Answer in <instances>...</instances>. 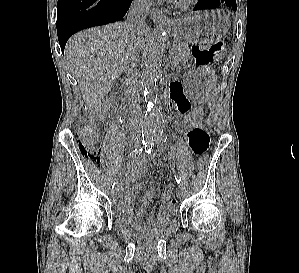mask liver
I'll use <instances>...</instances> for the list:
<instances>
[{
  "label": "liver",
  "mask_w": 299,
  "mask_h": 273,
  "mask_svg": "<svg viewBox=\"0 0 299 273\" xmlns=\"http://www.w3.org/2000/svg\"><path fill=\"white\" fill-rule=\"evenodd\" d=\"M148 37L147 27L132 34L123 22L88 29L69 39L65 57L78 81L86 110L104 99L128 65L131 49L141 51Z\"/></svg>",
  "instance_id": "1"
}]
</instances>
